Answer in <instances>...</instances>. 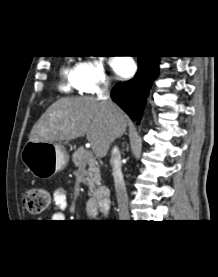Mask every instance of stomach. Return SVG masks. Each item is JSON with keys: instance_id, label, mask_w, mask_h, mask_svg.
Here are the masks:
<instances>
[{"instance_id": "obj_1", "label": "stomach", "mask_w": 218, "mask_h": 277, "mask_svg": "<svg viewBox=\"0 0 218 277\" xmlns=\"http://www.w3.org/2000/svg\"><path fill=\"white\" fill-rule=\"evenodd\" d=\"M21 160L34 176L48 178L67 166L69 156L59 143L28 141L22 149Z\"/></svg>"}]
</instances>
